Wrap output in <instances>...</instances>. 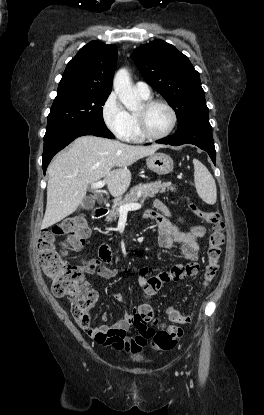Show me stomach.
<instances>
[{"label": "stomach", "mask_w": 264, "mask_h": 415, "mask_svg": "<svg viewBox=\"0 0 264 415\" xmlns=\"http://www.w3.org/2000/svg\"><path fill=\"white\" fill-rule=\"evenodd\" d=\"M147 167L158 175H166L172 172L173 159L165 153H153L146 159Z\"/></svg>", "instance_id": "0dacf381"}]
</instances>
